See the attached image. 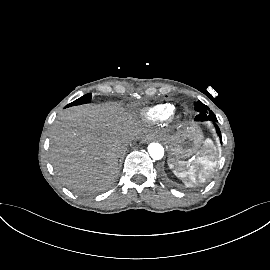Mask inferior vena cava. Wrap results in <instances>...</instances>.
<instances>
[{
  "mask_svg": "<svg viewBox=\"0 0 270 270\" xmlns=\"http://www.w3.org/2000/svg\"><path fill=\"white\" fill-rule=\"evenodd\" d=\"M125 149V146H122L119 150V154Z\"/></svg>",
  "mask_w": 270,
  "mask_h": 270,
  "instance_id": "602c4592",
  "label": "inferior vena cava"
}]
</instances>
